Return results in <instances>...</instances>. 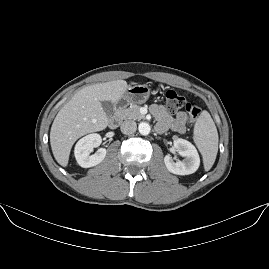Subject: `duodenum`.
I'll list each match as a JSON object with an SVG mask.
<instances>
[{"label":"duodenum","instance_id":"1","mask_svg":"<svg viewBox=\"0 0 269 269\" xmlns=\"http://www.w3.org/2000/svg\"><path fill=\"white\" fill-rule=\"evenodd\" d=\"M120 122V115L116 113L114 116H112L109 120V125L111 128L117 127V125Z\"/></svg>","mask_w":269,"mask_h":269}]
</instances>
